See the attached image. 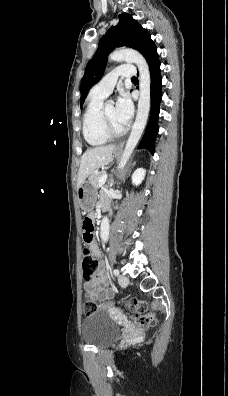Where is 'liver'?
Listing matches in <instances>:
<instances>
[{"instance_id":"1","label":"liver","mask_w":228,"mask_h":396,"mask_svg":"<svg viewBox=\"0 0 228 396\" xmlns=\"http://www.w3.org/2000/svg\"><path fill=\"white\" fill-rule=\"evenodd\" d=\"M114 145L98 146L87 149L82 155L77 178V188L85 179L93 174L98 168L109 164L113 158Z\"/></svg>"}]
</instances>
